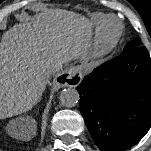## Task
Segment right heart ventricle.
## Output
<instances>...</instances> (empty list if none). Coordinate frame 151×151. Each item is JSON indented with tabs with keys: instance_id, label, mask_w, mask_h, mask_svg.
<instances>
[{
	"instance_id": "obj_1",
	"label": "right heart ventricle",
	"mask_w": 151,
	"mask_h": 151,
	"mask_svg": "<svg viewBox=\"0 0 151 151\" xmlns=\"http://www.w3.org/2000/svg\"><path fill=\"white\" fill-rule=\"evenodd\" d=\"M104 19V15L96 14L93 16V22L95 25H98Z\"/></svg>"
}]
</instances>
